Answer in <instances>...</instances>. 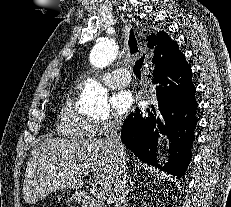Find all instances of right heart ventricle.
Segmentation results:
<instances>
[{"instance_id": "1", "label": "right heart ventricle", "mask_w": 231, "mask_h": 207, "mask_svg": "<svg viewBox=\"0 0 231 207\" xmlns=\"http://www.w3.org/2000/svg\"><path fill=\"white\" fill-rule=\"evenodd\" d=\"M57 131L70 139H86L95 135L94 123L78 109L74 93L68 96L61 105Z\"/></svg>"}]
</instances>
